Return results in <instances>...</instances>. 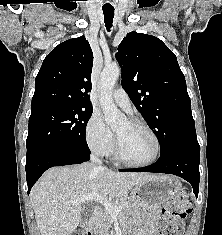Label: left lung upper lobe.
Segmentation results:
<instances>
[{
    "label": "left lung upper lobe",
    "mask_w": 222,
    "mask_h": 235,
    "mask_svg": "<svg viewBox=\"0 0 222 235\" xmlns=\"http://www.w3.org/2000/svg\"><path fill=\"white\" fill-rule=\"evenodd\" d=\"M116 58L122 87L157 135L161 155L200 149L184 74L164 42L133 31L119 44Z\"/></svg>",
    "instance_id": "5c2ea615"
}]
</instances>
